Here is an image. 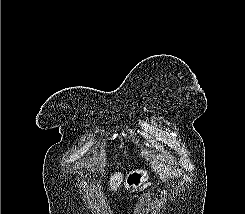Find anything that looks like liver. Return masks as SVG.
Wrapping results in <instances>:
<instances>
[{
    "instance_id": "liver-1",
    "label": "liver",
    "mask_w": 245,
    "mask_h": 214,
    "mask_svg": "<svg viewBox=\"0 0 245 214\" xmlns=\"http://www.w3.org/2000/svg\"><path fill=\"white\" fill-rule=\"evenodd\" d=\"M123 182V174L122 173H114L113 175H111L110 177V181H109V185L112 191H116L121 183Z\"/></svg>"
}]
</instances>
